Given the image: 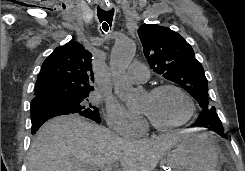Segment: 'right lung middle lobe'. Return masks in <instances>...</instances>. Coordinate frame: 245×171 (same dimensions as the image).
<instances>
[{
  "instance_id": "right-lung-middle-lobe-1",
  "label": "right lung middle lobe",
  "mask_w": 245,
  "mask_h": 171,
  "mask_svg": "<svg viewBox=\"0 0 245 171\" xmlns=\"http://www.w3.org/2000/svg\"><path fill=\"white\" fill-rule=\"evenodd\" d=\"M88 94L82 95H54L49 98L50 101L60 103L71 113H78L86 118L92 119L97 123L101 122L99 110L87 102Z\"/></svg>"
}]
</instances>
